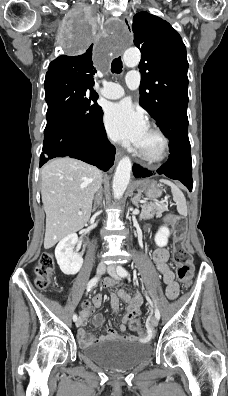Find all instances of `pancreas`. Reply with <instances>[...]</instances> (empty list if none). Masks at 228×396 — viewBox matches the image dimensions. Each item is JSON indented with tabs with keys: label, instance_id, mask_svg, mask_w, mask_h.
I'll return each mask as SVG.
<instances>
[{
	"label": "pancreas",
	"instance_id": "obj_1",
	"mask_svg": "<svg viewBox=\"0 0 228 396\" xmlns=\"http://www.w3.org/2000/svg\"><path fill=\"white\" fill-rule=\"evenodd\" d=\"M143 212L146 214L144 216H141V219L144 220H153L154 216L153 214H156L157 216H160L162 212L167 210V205L160 203V204H144L142 206Z\"/></svg>",
	"mask_w": 228,
	"mask_h": 396
}]
</instances>
